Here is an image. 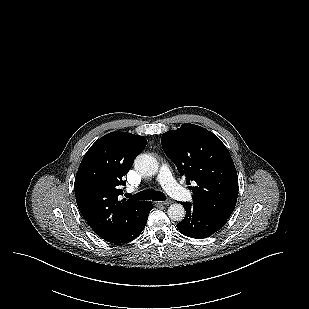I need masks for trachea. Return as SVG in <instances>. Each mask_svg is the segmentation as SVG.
I'll return each instance as SVG.
<instances>
[{
  "mask_svg": "<svg viewBox=\"0 0 309 309\" xmlns=\"http://www.w3.org/2000/svg\"><path fill=\"white\" fill-rule=\"evenodd\" d=\"M130 198H134L136 200H153V201H164L166 199L165 195L162 192L154 191V190H144L135 195H129Z\"/></svg>",
  "mask_w": 309,
  "mask_h": 309,
  "instance_id": "3493384b",
  "label": "trachea"
}]
</instances>
